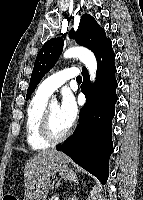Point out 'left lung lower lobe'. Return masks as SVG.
I'll list each match as a JSON object with an SVG mask.
<instances>
[{
	"label": "left lung lower lobe",
	"instance_id": "obj_1",
	"mask_svg": "<svg viewBox=\"0 0 143 200\" xmlns=\"http://www.w3.org/2000/svg\"><path fill=\"white\" fill-rule=\"evenodd\" d=\"M95 56L98 64L97 81L91 88L89 74L84 67L81 90L87 97V103L80 111L79 124L73 135L57 150L63 151L105 184L109 157L113 152L111 122L115 115L118 85L111 41Z\"/></svg>",
	"mask_w": 143,
	"mask_h": 200
}]
</instances>
